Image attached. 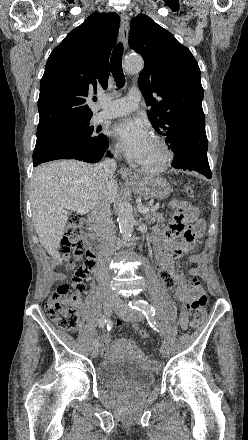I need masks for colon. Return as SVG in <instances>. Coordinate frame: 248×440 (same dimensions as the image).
Instances as JSON below:
<instances>
[{"mask_svg":"<svg viewBox=\"0 0 248 440\" xmlns=\"http://www.w3.org/2000/svg\"><path fill=\"white\" fill-rule=\"evenodd\" d=\"M185 191L189 197H194L192 187H187ZM188 206L190 208L189 219L192 226L197 231L203 230V223L197 218L195 207L191 204H188ZM61 252L67 261L68 267L74 271V287L78 292L85 291L87 288L86 277L95 267V262L92 254L84 245L80 220L75 214L68 216L65 236L61 242ZM193 284L198 289V292L193 302L195 313L189 327L198 328L205 320L206 296L196 279L193 280ZM79 301L80 298L77 292H71L67 285H61L49 298L45 308L46 314L57 327L65 330L74 329L79 319ZM139 335L142 339L149 338V332L145 329L140 330Z\"/></svg>","mask_w":248,"mask_h":440,"instance_id":"1","label":"colon"}]
</instances>
